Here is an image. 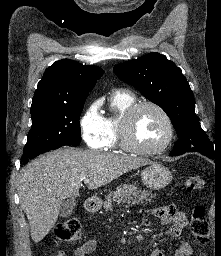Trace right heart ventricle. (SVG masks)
Wrapping results in <instances>:
<instances>
[{"label": "right heart ventricle", "instance_id": "right-heart-ventricle-1", "mask_svg": "<svg viewBox=\"0 0 221 256\" xmlns=\"http://www.w3.org/2000/svg\"><path fill=\"white\" fill-rule=\"evenodd\" d=\"M137 102L136 96L128 91H117L110 97V107L114 112L106 120L107 127V148L115 149L120 147L119 129L122 118L127 109Z\"/></svg>", "mask_w": 221, "mask_h": 256}]
</instances>
